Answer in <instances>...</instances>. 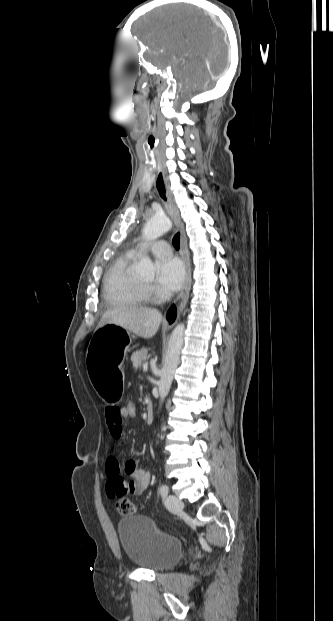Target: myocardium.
Wrapping results in <instances>:
<instances>
[{
	"instance_id": "f54148a6",
	"label": "myocardium",
	"mask_w": 333,
	"mask_h": 621,
	"mask_svg": "<svg viewBox=\"0 0 333 621\" xmlns=\"http://www.w3.org/2000/svg\"><path fill=\"white\" fill-rule=\"evenodd\" d=\"M145 287H146L147 289H149V286L145 285Z\"/></svg>"
}]
</instances>
